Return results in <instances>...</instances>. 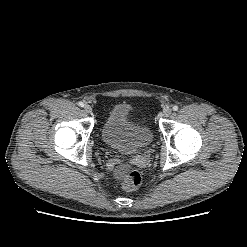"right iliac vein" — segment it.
I'll return each instance as SVG.
<instances>
[{
  "label": "right iliac vein",
  "instance_id": "right-iliac-vein-1",
  "mask_svg": "<svg viewBox=\"0 0 247 247\" xmlns=\"http://www.w3.org/2000/svg\"><path fill=\"white\" fill-rule=\"evenodd\" d=\"M84 110L86 113H89V114L92 113V107L90 105H85Z\"/></svg>",
  "mask_w": 247,
  "mask_h": 247
}]
</instances>
